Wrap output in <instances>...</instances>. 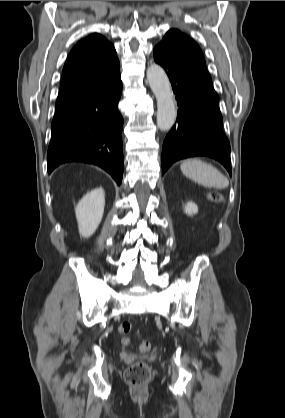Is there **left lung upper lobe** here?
<instances>
[{
    "mask_svg": "<svg viewBox=\"0 0 285 418\" xmlns=\"http://www.w3.org/2000/svg\"><path fill=\"white\" fill-rule=\"evenodd\" d=\"M166 38H169V39H171V38H176V39H181V40H183L185 43H186V45L195 53V54H197L198 56H199V58L205 63V60H204V57H203V54H202V52H201V49H200V47L198 46V44L193 40V39H191L190 37H188L187 35H185V34H183V33H181L180 31H178V30H176V29H171V30H169L167 33H166V35L164 36V38L163 39H166Z\"/></svg>",
    "mask_w": 285,
    "mask_h": 418,
    "instance_id": "obj_1",
    "label": "left lung upper lobe"
}]
</instances>
